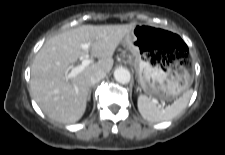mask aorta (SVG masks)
Segmentation results:
<instances>
[{
    "label": "aorta",
    "instance_id": "762f6f07",
    "mask_svg": "<svg viewBox=\"0 0 225 155\" xmlns=\"http://www.w3.org/2000/svg\"><path fill=\"white\" fill-rule=\"evenodd\" d=\"M114 78L121 84H127L130 81V72L126 68H117L114 71Z\"/></svg>",
    "mask_w": 225,
    "mask_h": 155
}]
</instances>
